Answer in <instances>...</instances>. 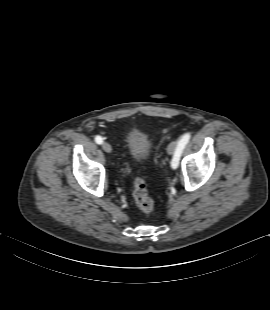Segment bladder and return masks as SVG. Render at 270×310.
Returning <instances> with one entry per match:
<instances>
[{"mask_svg":"<svg viewBox=\"0 0 270 310\" xmlns=\"http://www.w3.org/2000/svg\"><path fill=\"white\" fill-rule=\"evenodd\" d=\"M126 145L129 155L134 160H143L150 155V139L146 133L139 129H132L127 133Z\"/></svg>","mask_w":270,"mask_h":310,"instance_id":"obj_1","label":"bladder"}]
</instances>
